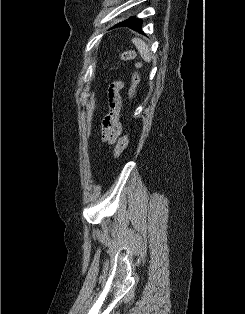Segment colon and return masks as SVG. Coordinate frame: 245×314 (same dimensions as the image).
I'll return each mask as SVG.
<instances>
[{
	"instance_id": "1",
	"label": "colon",
	"mask_w": 245,
	"mask_h": 314,
	"mask_svg": "<svg viewBox=\"0 0 245 314\" xmlns=\"http://www.w3.org/2000/svg\"><path fill=\"white\" fill-rule=\"evenodd\" d=\"M135 58V53L132 50H127L121 53L120 59L124 61L132 60ZM139 64H136V70L134 71L131 79V87H130V96L133 97L136 93L137 87L139 85L140 77H139V72L138 69ZM129 144V136L124 135L119 139V141L116 143L114 151H113V157L118 158L121 153L124 151V149L128 146Z\"/></svg>"
}]
</instances>
